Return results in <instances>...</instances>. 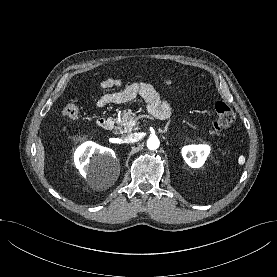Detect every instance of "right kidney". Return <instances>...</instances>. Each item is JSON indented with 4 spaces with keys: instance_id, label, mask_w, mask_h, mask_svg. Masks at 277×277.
Returning <instances> with one entry per match:
<instances>
[{
    "instance_id": "right-kidney-1",
    "label": "right kidney",
    "mask_w": 277,
    "mask_h": 277,
    "mask_svg": "<svg viewBox=\"0 0 277 277\" xmlns=\"http://www.w3.org/2000/svg\"><path fill=\"white\" fill-rule=\"evenodd\" d=\"M92 154H96V159L102 164L108 162L116 163V156L113 150L102 147L93 142H86L77 148L74 155V162L80 173L86 177L94 172V165L90 161Z\"/></svg>"
}]
</instances>
